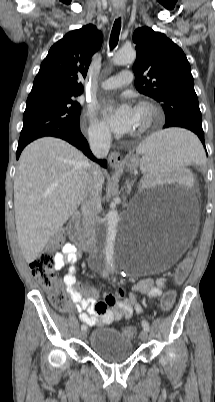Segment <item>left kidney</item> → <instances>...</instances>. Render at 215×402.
<instances>
[{"mask_svg":"<svg viewBox=\"0 0 215 402\" xmlns=\"http://www.w3.org/2000/svg\"><path fill=\"white\" fill-rule=\"evenodd\" d=\"M146 177L144 184L146 187H153L155 184V179L157 181H167L171 180L172 183H178L179 180H184L185 186H191V178L194 175L192 169H146L144 172ZM157 183V182H156Z\"/></svg>","mask_w":215,"mask_h":402,"instance_id":"5707ae66","label":"left kidney"}]
</instances>
